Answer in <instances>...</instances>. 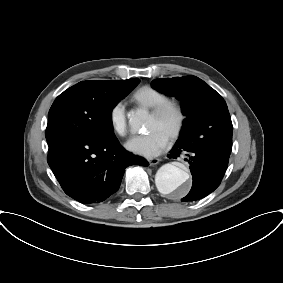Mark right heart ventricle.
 I'll list each match as a JSON object with an SVG mask.
<instances>
[{
    "label": "right heart ventricle",
    "mask_w": 283,
    "mask_h": 283,
    "mask_svg": "<svg viewBox=\"0 0 283 283\" xmlns=\"http://www.w3.org/2000/svg\"><path fill=\"white\" fill-rule=\"evenodd\" d=\"M132 99L139 107L152 109L169 99V96L155 87L146 85L138 88L132 94Z\"/></svg>",
    "instance_id": "e07e8e85"
}]
</instances>
